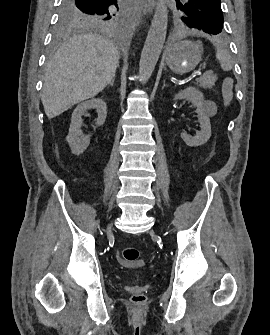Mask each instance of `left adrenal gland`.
<instances>
[{"mask_svg":"<svg viewBox=\"0 0 270 335\" xmlns=\"http://www.w3.org/2000/svg\"><path fill=\"white\" fill-rule=\"evenodd\" d=\"M166 84H165V80H163V86H162V90H164Z\"/></svg>","mask_w":270,"mask_h":335,"instance_id":"left-adrenal-gland-1","label":"left adrenal gland"}]
</instances>
